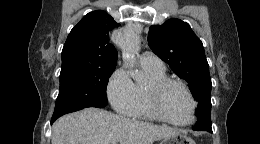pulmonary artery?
I'll return each instance as SVG.
<instances>
[{"instance_id":"obj_1","label":"pulmonary artery","mask_w":260,"mask_h":144,"mask_svg":"<svg viewBox=\"0 0 260 144\" xmlns=\"http://www.w3.org/2000/svg\"><path fill=\"white\" fill-rule=\"evenodd\" d=\"M141 65L150 69L162 71L164 70V64L162 60L152 52L145 51L140 56Z\"/></svg>"}]
</instances>
